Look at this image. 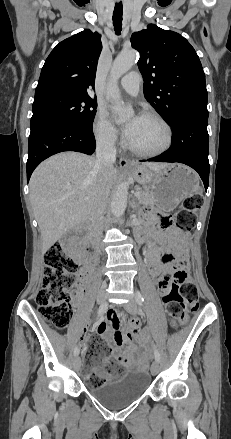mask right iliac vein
Here are the masks:
<instances>
[{"label": "right iliac vein", "mask_w": 231, "mask_h": 439, "mask_svg": "<svg viewBox=\"0 0 231 439\" xmlns=\"http://www.w3.org/2000/svg\"><path fill=\"white\" fill-rule=\"evenodd\" d=\"M97 302L100 306H104L106 304V292L104 290H101L98 293ZM81 364H82L81 358L77 355L73 361L74 369L76 371H79Z\"/></svg>", "instance_id": "63e3f726"}]
</instances>
